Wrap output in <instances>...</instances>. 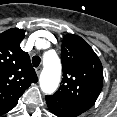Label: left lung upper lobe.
Instances as JSON below:
<instances>
[{
  "label": "left lung upper lobe",
  "mask_w": 117,
  "mask_h": 117,
  "mask_svg": "<svg viewBox=\"0 0 117 117\" xmlns=\"http://www.w3.org/2000/svg\"><path fill=\"white\" fill-rule=\"evenodd\" d=\"M61 61L62 85L50 97L83 113L94 105L101 92L102 64L92 48L81 37L73 34L63 37Z\"/></svg>",
  "instance_id": "obj_1"
}]
</instances>
